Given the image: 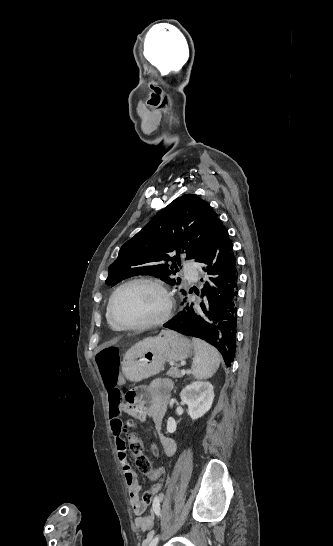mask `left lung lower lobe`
Listing matches in <instances>:
<instances>
[{
	"mask_svg": "<svg viewBox=\"0 0 333 546\" xmlns=\"http://www.w3.org/2000/svg\"><path fill=\"white\" fill-rule=\"evenodd\" d=\"M228 231L218 219L207 248L196 262L211 277L201 290L208 305L187 303L164 327L186 336L203 339L215 346L229 367L235 357L238 272ZM214 283L216 287L210 284ZM186 296V291H182Z\"/></svg>",
	"mask_w": 333,
	"mask_h": 546,
	"instance_id": "0a47b994",
	"label": "left lung lower lobe"
}]
</instances>
